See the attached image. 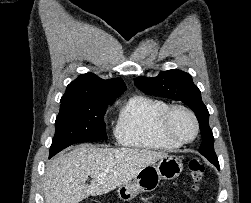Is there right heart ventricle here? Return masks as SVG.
Returning <instances> with one entry per match:
<instances>
[{
    "instance_id": "obj_1",
    "label": "right heart ventricle",
    "mask_w": 251,
    "mask_h": 203,
    "mask_svg": "<svg viewBox=\"0 0 251 203\" xmlns=\"http://www.w3.org/2000/svg\"><path fill=\"white\" fill-rule=\"evenodd\" d=\"M169 105L146 96L130 98L122 107L115 129L117 142L125 147L168 151L178 148L161 135L158 122Z\"/></svg>"
}]
</instances>
